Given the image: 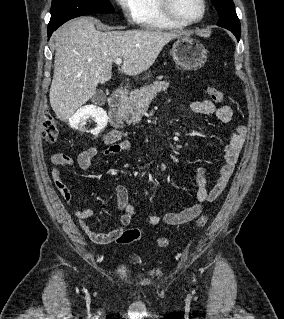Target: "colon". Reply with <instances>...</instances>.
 <instances>
[{"label": "colon", "instance_id": "colon-1", "mask_svg": "<svg viewBox=\"0 0 284 319\" xmlns=\"http://www.w3.org/2000/svg\"><path fill=\"white\" fill-rule=\"evenodd\" d=\"M207 95L217 103L223 102L224 94L221 90L216 87L208 86L206 88ZM59 134V128L54 120V118L50 115L44 117L42 122V136L44 140L48 143H53L57 139ZM208 221L207 216H201L197 222V227H203L206 225ZM141 239V232L138 229H128L125 230L117 239V242L120 244H130L135 241ZM170 241L168 238L163 237L158 239V246L160 248H166L169 245Z\"/></svg>", "mask_w": 284, "mask_h": 319}]
</instances>
